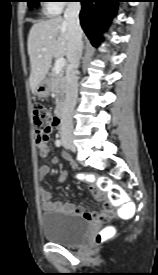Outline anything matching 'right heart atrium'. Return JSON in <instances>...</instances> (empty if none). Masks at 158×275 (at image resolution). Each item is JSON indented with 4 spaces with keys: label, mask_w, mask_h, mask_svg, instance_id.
Wrapping results in <instances>:
<instances>
[{
    "label": "right heart atrium",
    "mask_w": 158,
    "mask_h": 275,
    "mask_svg": "<svg viewBox=\"0 0 158 275\" xmlns=\"http://www.w3.org/2000/svg\"><path fill=\"white\" fill-rule=\"evenodd\" d=\"M70 0H53L52 3L47 4V9L49 13L55 14L58 13L65 5L66 2Z\"/></svg>",
    "instance_id": "right-heart-atrium-1"
}]
</instances>
